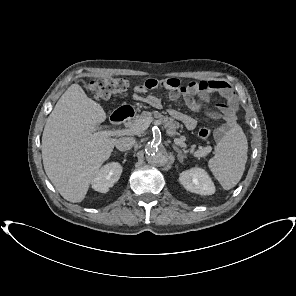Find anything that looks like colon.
<instances>
[{"instance_id":"1","label":"colon","mask_w":296,"mask_h":296,"mask_svg":"<svg viewBox=\"0 0 296 296\" xmlns=\"http://www.w3.org/2000/svg\"><path fill=\"white\" fill-rule=\"evenodd\" d=\"M129 88V82L125 78H101L89 84V90L97 99H107L115 95H123ZM211 135V129L208 126L200 127L198 137L201 140H207Z\"/></svg>"}]
</instances>
